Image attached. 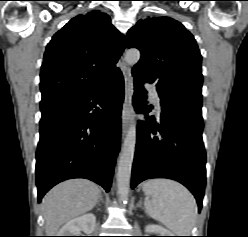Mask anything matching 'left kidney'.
Masks as SVG:
<instances>
[{
  "label": "left kidney",
  "mask_w": 248,
  "mask_h": 237,
  "mask_svg": "<svg viewBox=\"0 0 248 237\" xmlns=\"http://www.w3.org/2000/svg\"><path fill=\"white\" fill-rule=\"evenodd\" d=\"M147 233L159 234L160 236H174L169 230L159 226V225H147L145 227Z\"/></svg>",
  "instance_id": "1"
}]
</instances>
